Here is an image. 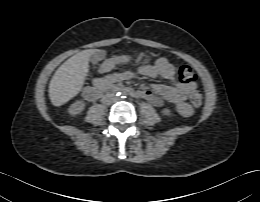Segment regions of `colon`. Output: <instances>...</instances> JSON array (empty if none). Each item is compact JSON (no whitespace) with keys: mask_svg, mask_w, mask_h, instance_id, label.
<instances>
[{"mask_svg":"<svg viewBox=\"0 0 260 202\" xmlns=\"http://www.w3.org/2000/svg\"><path fill=\"white\" fill-rule=\"evenodd\" d=\"M179 79L182 83H192L196 79L194 71L189 66H181L179 69ZM189 99L194 106H199L202 102V94L200 91L191 92Z\"/></svg>","mask_w":260,"mask_h":202,"instance_id":"colon-1","label":"colon"}]
</instances>
